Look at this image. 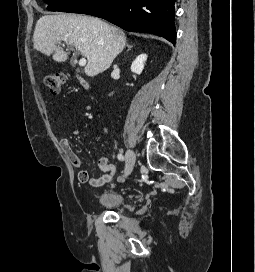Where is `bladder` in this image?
<instances>
[{"label":"bladder","instance_id":"bladder-1","mask_svg":"<svg viewBox=\"0 0 255 272\" xmlns=\"http://www.w3.org/2000/svg\"><path fill=\"white\" fill-rule=\"evenodd\" d=\"M128 198L118 192H106L99 196L97 204L103 208L115 209L124 205Z\"/></svg>","mask_w":255,"mask_h":272}]
</instances>
